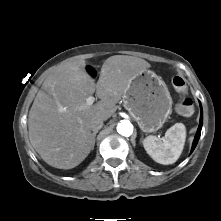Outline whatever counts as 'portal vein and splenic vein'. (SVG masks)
<instances>
[{"label": "portal vein and splenic vein", "mask_w": 221, "mask_h": 221, "mask_svg": "<svg viewBox=\"0 0 221 221\" xmlns=\"http://www.w3.org/2000/svg\"><path fill=\"white\" fill-rule=\"evenodd\" d=\"M94 101H95V98L90 96L86 99V105L91 106L94 103Z\"/></svg>", "instance_id": "portal-vein-and-splenic-vein-1"}]
</instances>
